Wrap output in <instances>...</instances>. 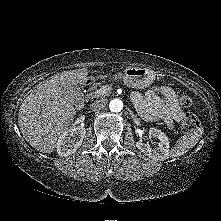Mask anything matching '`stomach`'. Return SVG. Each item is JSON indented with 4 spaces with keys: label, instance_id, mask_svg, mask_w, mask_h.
I'll return each instance as SVG.
<instances>
[{
    "label": "stomach",
    "instance_id": "obj_1",
    "mask_svg": "<svg viewBox=\"0 0 221 221\" xmlns=\"http://www.w3.org/2000/svg\"><path fill=\"white\" fill-rule=\"evenodd\" d=\"M122 78L124 83L133 88H145L150 86L155 74L153 71L146 68L128 67L123 74L115 75V79Z\"/></svg>",
    "mask_w": 221,
    "mask_h": 221
}]
</instances>
